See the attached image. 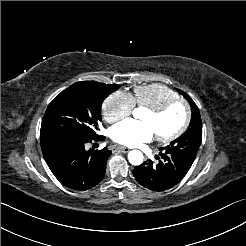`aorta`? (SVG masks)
I'll return each instance as SVG.
<instances>
[{
    "label": "aorta",
    "instance_id": "aorta-1",
    "mask_svg": "<svg viewBox=\"0 0 246 246\" xmlns=\"http://www.w3.org/2000/svg\"><path fill=\"white\" fill-rule=\"evenodd\" d=\"M133 115H135V110L133 111ZM143 154L139 150H132L128 153V160L130 164L134 166L141 165L143 163Z\"/></svg>",
    "mask_w": 246,
    "mask_h": 246
}]
</instances>
